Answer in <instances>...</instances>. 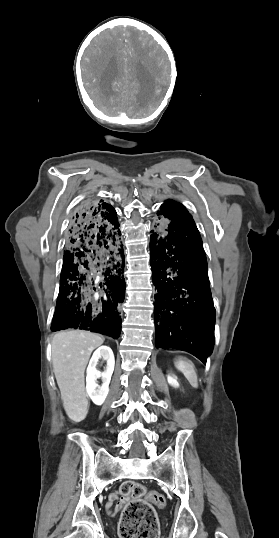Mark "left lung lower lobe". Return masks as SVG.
<instances>
[{
  "instance_id": "obj_1",
  "label": "left lung lower lobe",
  "mask_w": 279,
  "mask_h": 538,
  "mask_svg": "<svg viewBox=\"0 0 279 538\" xmlns=\"http://www.w3.org/2000/svg\"><path fill=\"white\" fill-rule=\"evenodd\" d=\"M151 233L156 348L187 351L205 364L214 346L215 309L198 229L173 223Z\"/></svg>"
}]
</instances>
